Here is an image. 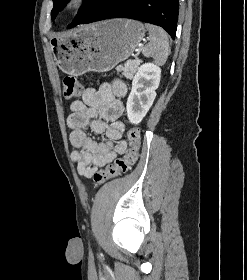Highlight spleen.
Here are the masks:
<instances>
[{"label": "spleen", "mask_w": 247, "mask_h": 280, "mask_svg": "<svg viewBox=\"0 0 247 280\" xmlns=\"http://www.w3.org/2000/svg\"><path fill=\"white\" fill-rule=\"evenodd\" d=\"M149 31L150 42L142 48L145 57H151L158 65H163L170 53L169 40L166 32L155 25L145 24Z\"/></svg>", "instance_id": "3e777b00"}]
</instances>
